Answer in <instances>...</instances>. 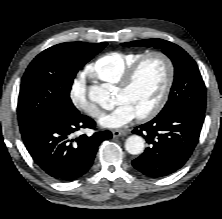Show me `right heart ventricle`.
<instances>
[{
  "mask_svg": "<svg viewBox=\"0 0 222 219\" xmlns=\"http://www.w3.org/2000/svg\"><path fill=\"white\" fill-rule=\"evenodd\" d=\"M144 53L142 51L107 52L88 65L86 72L104 83L117 85L127 68Z\"/></svg>",
  "mask_w": 222,
  "mask_h": 219,
  "instance_id": "obj_1",
  "label": "right heart ventricle"
}]
</instances>
